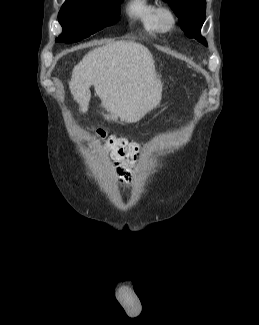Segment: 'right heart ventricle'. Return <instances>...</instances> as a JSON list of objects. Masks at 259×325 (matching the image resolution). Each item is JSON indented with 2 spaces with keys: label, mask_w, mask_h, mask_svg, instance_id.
<instances>
[{
  "label": "right heart ventricle",
  "mask_w": 259,
  "mask_h": 325,
  "mask_svg": "<svg viewBox=\"0 0 259 325\" xmlns=\"http://www.w3.org/2000/svg\"><path fill=\"white\" fill-rule=\"evenodd\" d=\"M159 4L154 0H130L128 14L136 20L144 30L150 33H160L157 22Z\"/></svg>",
  "instance_id": "e07e8e85"
}]
</instances>
